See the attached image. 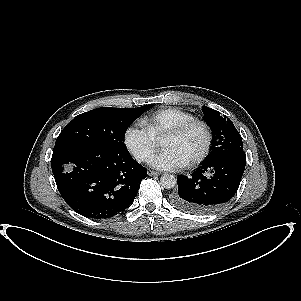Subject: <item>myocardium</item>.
I'll use <instances>...</instances> for the list:
<instances>
[{
  "label": "myocardium",
  "mask_w": 301,
  "mask_h": 301,
  "mask_svg": "<svg viewBox=\"0 0 301 301\" xmlns=\"http://www.w3.org/2000/svg\"><path fill=\"white\" fill-rule=\"evenodd\" d=\"M192 126H199L202 128V130L204 132L205 140H204V144H203V147L201 148V150L194 157H192L189 161H187V165H189V166H192V165H195V164L201 162L207 156V154L209 152V149L211 146L212 135H211L208 125L205 122L198 120V119H193V120L187 121L183 124H180L172 129L168 130L167 132H165V134L162 136V139H161V144L163 146V141L166 138L179 136L182 133H184L186 130L191 128Z\"/></svg>",
  "instance_id": "f54148a6"
}]
</instances>
